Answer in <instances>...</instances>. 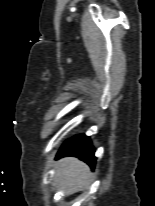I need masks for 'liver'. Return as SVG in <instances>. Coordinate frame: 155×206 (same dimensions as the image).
I'll use <instances>...</instances> for the list:
<instances>
[{"mask_svg":"<svg viewBox=\"0 0 155 206\" xmlns=\"http://www.w3.org/2000/svg\"><path fill=\"white\" fill-rule=\"evenodd\" d=\"M55 178L68 192L86 187L91 179L89 167L76 158H64L56 165Z\"/></svg>","mask_w":155,"mask_h":206,"instance_id":"liver-1","label":"liver"}]
</instances>
